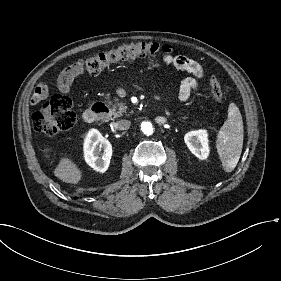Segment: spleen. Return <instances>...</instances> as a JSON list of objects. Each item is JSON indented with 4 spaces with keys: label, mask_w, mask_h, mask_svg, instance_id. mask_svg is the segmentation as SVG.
Here are the masks:
<instances>
[{
    "label": "spleen",
    "mask_w": 281,
    "mask_h": 281,
    "mask_svg": "<svg viewBox=\"0 0 281 281\" xmlns=\"http://www.w3.org/2000/svg\"><path fill=\"white\" fill-rule=\"evenodd\" d=\"M243 120L239 108L231 103L228 119L221 127L216 141L217 151L226 172H232L240 159L243 148Z\"/></svg>",
    "instance_id": "obj_1"
}]
</instances>
